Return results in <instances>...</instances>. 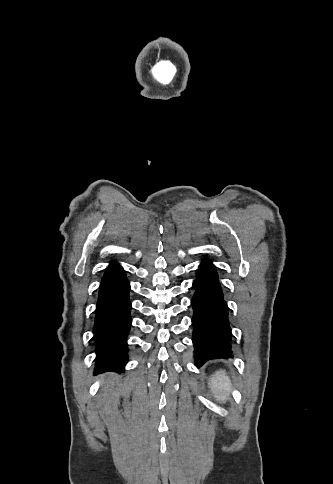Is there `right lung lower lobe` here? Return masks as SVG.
Wrapping results in <instances>:
<instances>
[{
  "label": "right lung lower lobe",
  "mask_w": 333,
  "mask_h": 484,
  "mask_svg": "<svg viewBox=\"0 0 333 484\" xmlns=\"http://www.w3.org/2000/svg\"><path fill=\"white\" fill-rule=\"evenodd\" d=\"M129 290L125 271L118 263L111 262L100 284L93 328L96 373L124 371L128 359L126 337L131 326Z\"/></svg>",
  "instance_id": "1"
}]
</instances>
